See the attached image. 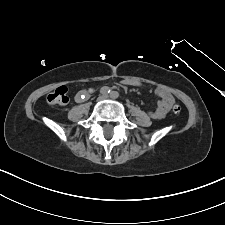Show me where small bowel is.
<instances>
[{"label":"small bowel","mask_w":225,"mask_h":225,"mask_svg":"<svg viewBox=\"0 0 225 225\" xmlns=\"http://www.w3.org/2000/svg\"><path fill=\"white\" fill-rule=\"evenodd\" d=\"M122 84L138 86V87L143 86V83L141 81L132 80V79L124 80V81H122ZM92 93H93V90L91 88L82 89L76 94L75 100H76V102H79V103L83 102ZM155 96L158 99L156 108L153 111H149L148 114L153 119H162L166 116V114L170 110V108L175 104L176 99L173 94H171L168 90H166L164 88H156Z\"/></svg>","instance_id":"c3829d8e"}]
</instances>
